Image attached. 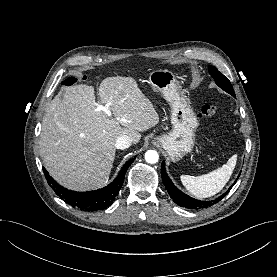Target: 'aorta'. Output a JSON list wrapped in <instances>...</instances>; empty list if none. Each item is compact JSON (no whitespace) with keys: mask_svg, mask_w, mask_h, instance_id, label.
Returning a JSON list of instances; mask_svg holds the SVG:
<instances>
[{"mask_svg":"<svg viewBox=\"0 0 277 277\" xmlns=\"http://www.w3.org/2000/svg\"><path fill=\"white\" fill-rule=\"evenodd\" d=\"M145 160H146V162H148L150 164L157 163L158 160H159V155H158L157 151H155V150H148L145 153Z\"/></svg>","mask_w":277,"mask_h":277,"instance_id":"1","label":"aorta"}]
</instances>
